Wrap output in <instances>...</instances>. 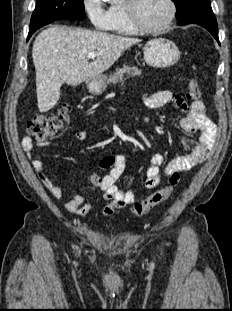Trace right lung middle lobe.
Returning <instances> with one entry per match:
<instances>
[{"label": "right lung middle lobe", "mask_w": 232, "mask_h": 311, "mask_svg": "<svg viewBox=\"0 0 232 311\" xmlns=\"http://www.w3.org/2000/svg\"><path fill=\"white\" fill-rule=\"evenodd\" d=\"M84 0H36L30 28L43 26L53 21L85 19Z\"/></svg>", "instance_id": "obj_1"}]
</instances>
